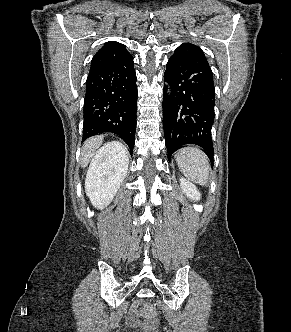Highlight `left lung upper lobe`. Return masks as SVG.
<instances>
[{
  "instance_id": "left-lung-upper-lobe-1",
  "label": "left lung upper lobe",
  "mask_w": 291,
  "mask_h": 332,
  "mask_svg": "<svg viewBox=\"0 0 291 332\" xmlns=\"http://www.w3.org/2000/svg\"><path fill=\"white\" fill-rule=\"evenodd\" d=\"M182 45H193V44H191V43H183Z\"/></svg>"
}]
</instances>
